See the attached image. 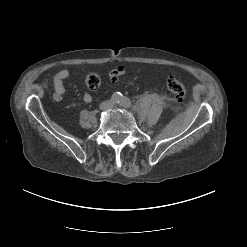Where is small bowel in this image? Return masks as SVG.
<instances>
[{"label":"small bowel","instance_id":"1","mask_svg":"<svg viewBox=\"0 0 247 247\" xmlns=\"http://www.w3.org/2000/svg\"><path fill=\"white\" fill-rule=\"evenodd\" d=\"M124 68L118 67L113 69L110 72V78L112 80L118 79L121 75L124 74ZM71 78V73L68 70H60L58 71L53 78L54 85V99L56 101H61L65 95V81ZM84 102H91L92 96L90 93H84L83 95Z\"/></svg>","mask_w":247,"mask_h":247}]
</instances>
